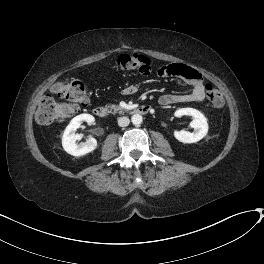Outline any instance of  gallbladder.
<instances>
[{
    "label": "gallbladder",
    "mask_w": 264,
    "mask_h": 264,
    "mask_svg": "<svg viewBox=\"0 0 264 264\" xmlns=\"http://www.w3.org/2000/svg\"><path fill=\"white\" fill-rule=\"evenodd\" d=\"M60 87H61V84L54 85V86H53V90H54V91H57V90L60 89Z\"/></svg>",
    "instance_id": "1"
}]
</instances>
